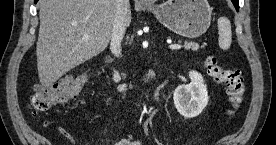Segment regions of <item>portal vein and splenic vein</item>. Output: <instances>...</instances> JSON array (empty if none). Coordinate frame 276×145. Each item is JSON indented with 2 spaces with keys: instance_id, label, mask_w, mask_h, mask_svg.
Returning <instances> with one entry per match:
<instances>
[{
  "instance_id": "obj_1",
  "label": "portal vein and splenic vein",
  "mask_w": 276,
  "mask_h": 145,
  "mask_svg": "<svg viewBox=\"0 0 276 145\" xmlns=\"http://www.w3.org/2000/svg\"><path fill=\"white\" fill-rule=\"evenodd\" d=\"M88 38H89L88 35L83 36L84 40H87ZM169 48L172 49V50H178V49H181L182 46L180 44H171V45H169Z\"/></svg>"
}]
</instances>
